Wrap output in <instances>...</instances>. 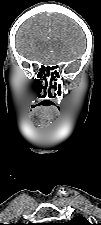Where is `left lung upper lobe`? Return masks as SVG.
I'll return each mask as SVG.
<instances>
[{"label": "left lung upper lobe", "mask_w": 101, "mask_h": 225, "mask_svg": "<svg viewBox=\"0 0 101 225\" xmlns=\"http://www.w3.org/2000/svg\"><path fill=\"white\" fill-rule=\"evenodd\" d=\"M56 225H92L91 223H89L88 220H86L84 217H75L74 219H72L69 222H65V223H59Z\"/></svg>", "instance_id": "5c2ea615"}]
</instances>
